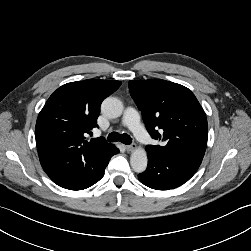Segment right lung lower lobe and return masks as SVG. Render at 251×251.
<instances>
[{"label": "right lung lower lobe", "mask_w": 251, "mask_h": 251, "mask_svg": "<svg viewBox=\"0 0 251 251\" xmlns=\"http://www.w3.org/2000/svg\"><path fill=\"white\" fill-rule=\"evenodd\" d=\"M118 152L119 149L112 146V148L102 158H99L91 167L84 169L81 172H76L68 176L58 174L48 176L54 183L63 188L70 190L86 189L103 177L105 168L108 165L110 158Z\"/></svg>", "instance_id": "1"}]
</instances>
